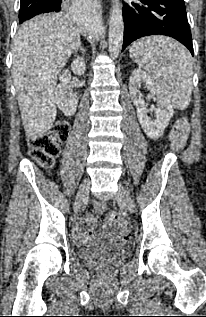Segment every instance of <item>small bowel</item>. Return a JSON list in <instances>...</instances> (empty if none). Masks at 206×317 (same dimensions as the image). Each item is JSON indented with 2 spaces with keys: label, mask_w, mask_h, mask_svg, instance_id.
<instances>
[{
  "label": "small bowel",
  "mask_w": 206,
  "mask_h": 317,
  "mask_svg": "<svg viewBox=\"0 0 206 317\" xmlns=\"http://www.w3.org/2000/svg\"><path fill=\"white\" fill-rule=\"evenodd\" d=\"M86 223L88 225L87 230L85 232L82 231L83 224ZM97 226V221L92 215H86L84 218L77 220L73 226V234L77 241L79 242H86L90 240L94 236V230ZM106 234L108 237L115 236V230L112 227V224L105 228ZM123 234V233H122ZM130 234H123L122 239L127 240L129 239Z\"/></svg>",
  "instance_id": "1"
}]
</instances>
